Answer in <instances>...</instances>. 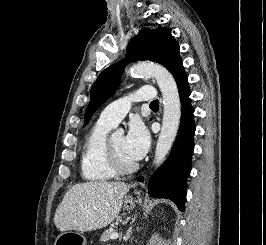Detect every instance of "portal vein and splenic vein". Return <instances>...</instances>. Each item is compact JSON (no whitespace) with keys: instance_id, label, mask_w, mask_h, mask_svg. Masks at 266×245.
<instances>
[{"instance_id":"obj_1","label":"portal vein and splenic vein","mask_w":266,"mask_h":245,"mask_svg":"<svg viewBox=\"0 0 266 245\" xmlns=\"http://www.w3.org/2000/svg\"><path fill=\"white\" fill-rule=\"evenodd\" d=\"M119 235L118 233H112L110 239H118Z\"/></svg>"}]
</instances>
